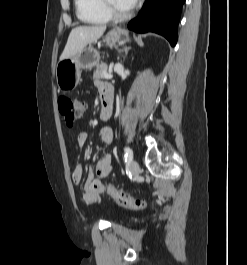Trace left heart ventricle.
Segmentation results:
<instances>
[{
  "label": "left heart ventricle",
  "instance_id": "obj_1",
  "mask_svg": "<svg viewBox=\"0 0 247 265\" xmlns=\"http://www.w3.org/2000/svg\"><path fill=\"white\" fill-rule=\"evenodd\" d=\"M109 1L111 2L112 5H114L121 12L128 10L125 6L120 4L118 0H109Z\"/></svg>",
  "mask_w": 247,
  "mask_h": 265
}]
</instances>
